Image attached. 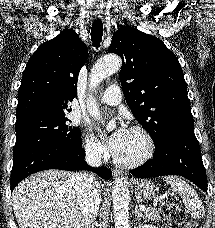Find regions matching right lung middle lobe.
<instances>
[{
	"instance_id": "obj_1",
	"label": "right lung middle lobe",
	"mask_w": 215,
	"mask_h": 228,
	"mask_svg": "<svg viewBox=\"0 0 215 228\" xmlns=\"http://www.w3.org/2000/svg\"><path fill=\"white\" fill-rule=\"evenodd\" d=\"M67 114L39 116L15 124L16 143L13 155L43 144L82 147L78 127L68 125Z\"/></svg>"
}]
</instances>
